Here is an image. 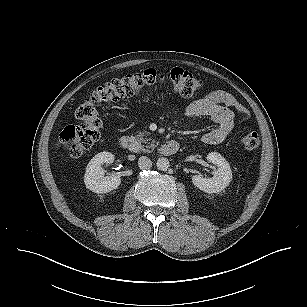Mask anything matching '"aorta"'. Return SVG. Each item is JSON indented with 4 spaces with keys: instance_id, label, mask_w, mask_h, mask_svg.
<instances>
[{
    "instance_id": "obj_1",
    "label": "aorta",
    "mask_w": 307,
    "mask_h": 307,
    "mask_svg": "<svg viewBox=\"0 0 307 307\" xmlns=\"http://www.w3.org/2000/svg\"><path fill=\"white\" fill-rule=\"evenodd\" d=\"M156 166L159 170L166 171L170 166V162L167 158L161 157L157 160Z\"/></svg>"
}]
</instances>
